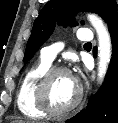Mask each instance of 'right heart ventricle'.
<instances>
[{
	"label": "right heart ventricle",
	"mask_w": 118,
	"mask_h": 123,
	"mask_svg": "<svg viewBox=\"0 0 118 123\" xmlns=\"http://www.w3.org/2000/svg\"><path fill=\"white\" fill-rule=\"evenodd\" d=\"M50 67L51 62L41 59L24 74L16 97L18 109L24 116L29 118H44L47 115L38 106L37 88L41 77Z\"/></svg>",
	"instance_id": "obj_1"
}]
</instances>
